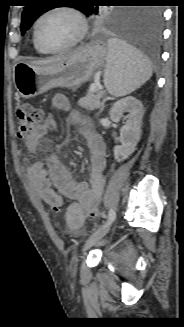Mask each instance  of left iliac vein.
<instances>
[{
  "label": "left iliac vein",
  "instance_id": "4c4485c4",
  "mask_svg": "<svg viewBox=\"0 0 184 327\" xmlns=\"http://www.w3.org/2000/svg\"><path fill=\"white\" fill-rule=\"evenodd\" d=\"M111 227V223L104 226L103 228L97 230L96 232H94L86 241L85 245H84V251H87L88 249H90L92 246H94L95 244H97L110 230Z\"/></svg>",
  "mask_w": 184,
  "mask_h": 327
}]
</instances>
